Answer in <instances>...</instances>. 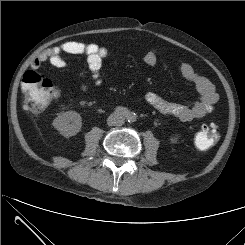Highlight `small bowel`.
Wrapping results in <instances>:
<instances>
[{
  "label": "small bowel",
  "mask_w": 245,
  "mask_h": 245,
  "mask_svg": "<svg viewBox=\"0 0 245 245\" xmlns=\"http://www.w3.org/2000/svg\"><path fill=\"white\" fill-rule=\"evenodd\" d=\"M83 55L90 71V82L82 85V88L100 86L103 83L101 77V66L103 60L108 56V49L93 43L78 41H66L59 46L44 50L33 61L32 67L38 68L43 63L49 62L58 69H68L69 63L62 54ZM144 60L149 66L158 63V55L155 51H148ZM182 77L195 86L199 98L190 105H182L164 100L155 93L147 94V102L159 113L173 116L183 122L202 117L210 113L218 101V94L214 85L204 76L200 75L190 64L184 63L180 66Z\"/></svg>",
  "instance_id": "small-bowel-1"
}]
</instances>
